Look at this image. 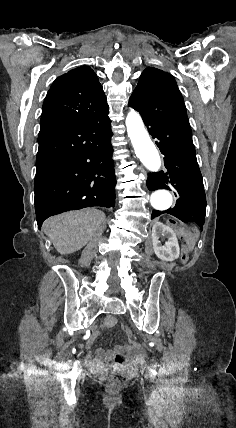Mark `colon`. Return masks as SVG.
<instances>
[{
    "instance_id": "1",
    "label": "colon",
    "mask_w": 236,
    "mask_h": 428,
    "mask_svg": "<svg viewBox=\"0 0 236 428\" xmlns=\"http://www.w3.org/2000/svg\"><path fill=\"white\" fill-rule=\"evenodd\" d=\"M125 334L128 338L132 337V331L128 328H124ZM129 381V376L123 372H115L109 377V385L113 389H118L124 386Z\"/></svg>"
}]
</instances>
